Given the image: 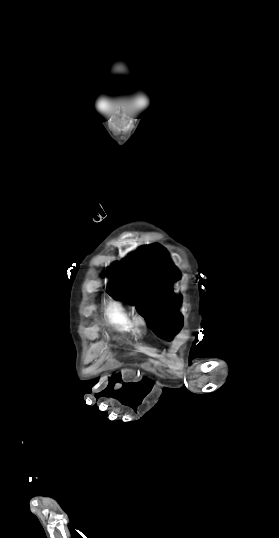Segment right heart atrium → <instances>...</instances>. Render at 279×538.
Listing matches in <instances>:
<instances>
[{
  "instance_id": "right-heart-atrium-1",
  "label": "right heart atrium",
  "mask_w": 279,
  "mask_h": 538,
  "mask_svg": "<svg viewBox=\"0 0 279 538\" xmlns=\"http://www.w3.org/2000/svg\"><path fill=\"white\" fill-rule=\"evenodd\" d=\"M134 237H135V238H139V237H140V234H139V233H136V234H134Z\"/></svg>"
}]
</instances>
